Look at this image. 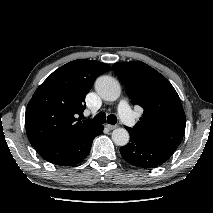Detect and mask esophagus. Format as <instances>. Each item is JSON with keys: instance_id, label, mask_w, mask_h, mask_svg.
<instances>
[{"instance_id": "esophagus-1", "label": "esophagus", "mask_w": 213, "mask_h": 213, "mask_svg": "<svg viewBox=\"0 0 213 213\" xmlns=\"http://www.w3.org/2000/svg\"><path fill=\"white\" fill-rule=\"evenodd\" d=\"M105 126H106V128H108L109 130H114V129H116V128L118 127L117 125H110V124H106Z\"/></svg>"}]
</instances>
